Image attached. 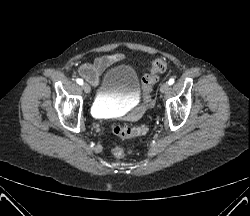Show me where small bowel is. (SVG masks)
Here are the masks:
<instances>
[{
  "label": "small bowel",
  "instance_id": "c3829d8e",
  "mask_svg": "<svg viewBox=\"0 0 250 216\" xmlns=\"http://www.w3.org/2000/svg\"><path fill=\"white\" fill-rule=\"evenodd\" d=\"M124 59L121 54H110L98 57L91 63H85L78 68V74L88 81L91 85L96 86L99 83L100 74L114 63Z\"/></svg>",
  "mask_w": 250,
  "mask_h": 216
}]
</instances>
